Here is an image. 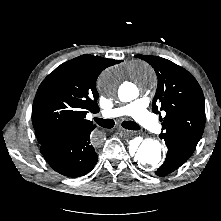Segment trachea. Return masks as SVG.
I'll list each match as a JSON object with an SVG mask.
<instances>
[{"instance_id":"1","label":"trachea","mask_w":221,"mask_h":221,"mask_svg":"<svg viewBox=\"0 0 221 221\" xmlns=\"http://www.w3.org/2000/svg\"><path fill=\"white\" fill-rule=\"evenodd\" d=\"M101 127L110 129L114 126L115 122L112 119L94 118ZM124 128L129 130H139L140 126L133 121H123L121 124Z\"/></svg>"}]
</instances>
